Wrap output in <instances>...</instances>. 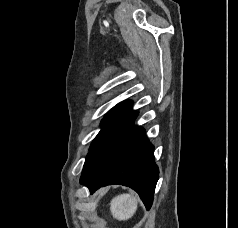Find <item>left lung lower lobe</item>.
<instances>
[{
	"mask_svg": "<svg viewBox=\"0 0 238 228\" xmlns=\"http://www.w3.org/2000/svg\"><path fill=\"white\" fill-rule=\"evenodd\" d=\"M137 112L120 129L101 163L80 182L91 193L101 186L122 184L138 192L147 209L153 201L159 170L154 162L153 146L144 129L134 126Z\"/></svg>",
	"mask_w": 238,
	"mask_h": 228,
	"instance_id": "0a47b994",
	"label": "left lung lower lobe"
}]
</instances>
